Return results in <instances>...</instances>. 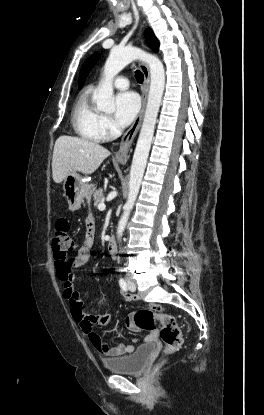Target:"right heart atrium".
<instances>
[{
  "label": "right heart atrium",
  "instance_id": "right-heart-atrium-1",
  "mask_svg": "<svg viewBox=\"0 0 264 415\" xmlns=\"http://www.w3.org/2000/svg\"><path fill=\"white\" fill-rule=\"evenodd\" d=\"M102 128L106 137H111L115 135L117 132L116 126L112 119L105 115L102 118Z\"/></svg>",
  "mask_w": 264,
  "mask_h": 415
}]
</instances>
